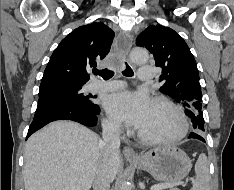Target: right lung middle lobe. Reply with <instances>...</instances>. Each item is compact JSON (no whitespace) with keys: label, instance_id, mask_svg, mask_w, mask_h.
<instances>
[{"label":"right lung middle lobe","instance_id":"right-lung-middle-lobe-1","mask_svg":"<svg viewBox=\"0 0 234 190\" xmlns=\"http://www.w3.org/2000/svg\"><path fill=\"white\" fill-rule=\"evenodd\" d=\"M83 84H75L63 80H50L42 82L39 90L37 108L50 102H67L84 108H93L97 105L92 102L95 98L91 94L85 95L81 89Z\"/></svg>","mask_w":234,"mask_h":190}]
</instances>
